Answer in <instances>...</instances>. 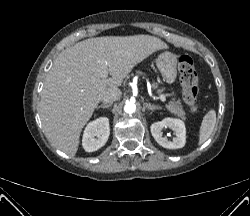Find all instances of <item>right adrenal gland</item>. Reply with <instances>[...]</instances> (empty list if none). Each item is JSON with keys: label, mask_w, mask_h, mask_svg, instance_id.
<instances>
[{"label": "right adrenal gland", "mask_w": 250, "mask_h": 216, "mask_svg": "<svg viewBox=\"0 0 250 216\" xmlns=\"http://www.w3.org/2000/svg\"><path fill=\"white\" fill-rule=\"evenodd\" d=\"M111 106H112V104H101V105H99V106L97 107V109H99V108L105 109V108H109V107H111Z\"/></svg>", "instance_id": "2a0ac1e0"}]
</instances>
